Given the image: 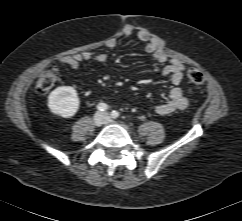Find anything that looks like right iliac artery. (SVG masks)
Returning a JSON list of instances; mask_svg holds the SVG:
<instances>
[{"label":"right iliac artery","instance_id":"1","mask_svg":"<svg viewBox=\"0 0 242 221\" xmlns=\"http://www.w3.org/2000/svg\"><path fill=\"white\" fill-rule=\"evenodd\" d=\"M97 109H98L99 111H105V110L108 109V105L105 104V103H99V104L97 105Z\"/></svg>","mask_w":242,"mask_h":221}]
</instances>
